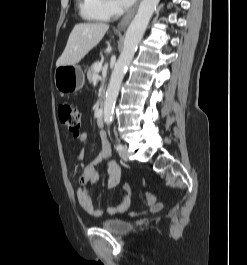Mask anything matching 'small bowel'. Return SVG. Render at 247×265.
<instances>
[{"label": "small bowel", "instance_id": "small-bowel-1", "mask_svg": "<svg viewBox=\"0 0 247 265\" xmlns=\"http://www.w3.org/2000/svg\"><path fill=\"white\" fill-rule=\"evenodd\" d=\"M101 138V150L96 158L89 164L85 165L78 178V186L76 191V197L79 205L87 213L94 216H101L103 210L96 208L93 204L92 198L89 193V188L99 179V174L96 170V165L102 160H107V176L105 180V186L107 189L115 188L121 180V168L117 162L113 160V153L109 140L104 132L100 134ZM86 135L81 136V141H85ZM83 151L78 154V161L83 159ZM131 206V199L129 196H124L118 203L109 205L107 212L110 214L124 213ZM161 208L160 204H156L151 207L150 212H157Z\"/></svg>", "mask_w": 247, "mask_h": 265}]
</instances>
